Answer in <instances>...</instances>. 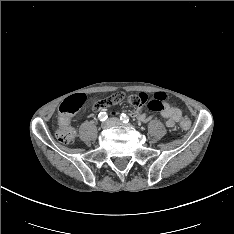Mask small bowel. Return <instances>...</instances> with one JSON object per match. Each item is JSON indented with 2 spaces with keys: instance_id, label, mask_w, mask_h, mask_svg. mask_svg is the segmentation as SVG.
Wrapping results in <instances>:
<instances>
[{
  "instance_id": "small-bowel-1",
  "label": "small bowel",
  "mask_w": 234,
  "mask_h": 234,
  "mask_svg": "<svg viewBox=\"0 0 234 234\" xmlns=\"http://www.w3.org/2000/svg\"><path fill=\"white\" fill-rule=\"evenodd\" d=\"M102 106L98 109H105L108 107L112 102L109 99H103ZM160 114L166 119V126L169 128L174 127L179 121L182 119V111L167 102H163L161 108L158 110ZM133 117H135L140 122H148L152 119V115L142 112L140 108H136L132 112Z\"/></svg>"
}]
</instances>
